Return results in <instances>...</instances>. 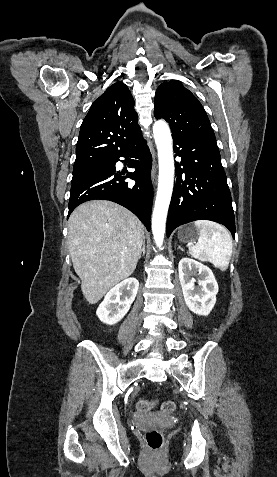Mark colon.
<instances>
[{
    "label": "colon",
    "instance_id": "5ec220e1",
    "mask_svg": "<svg viewBox=\"0 0 277 477\" xmlns=\"http://www.w3.org/2000/svg\"><path fill=\"white\" fill-rule=\"evenodd\" d=\"M155 405L154 401L149 400H139L137 402V409L140 412H148ZM176 408V405L172 401H165L162 404V410L165 413H172ZM145 440L148 447L154 451L159 450L164 441V432L161 428H151L145 434Z\"/></svg>",
    "mask_w": 277,
    "mask_h": 477
}]
</instances>
